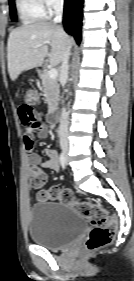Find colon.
<instances>
[{
  "instance_id": "obj_1",
  "label": "colon",
  "mask_w": 134,
  "mask_h": 281,
  "mask_svg": "<svg viewBox=\"0 0 134 281\" xmlns=\"http://www.w3.org/2000/svg\"><path fill=\"white\" fill-rule=\"evenodd\" d=\"M37 102V92L33 89L27 90L25 103L34 106ZM30 182L33 187L41 189L46 182V176L39 168L32 169ZM39 197L41 199L58 200L66 205L73 206L90 221L93 228L85 242L88 250L92 251L112 243L117 230V220L101 205L77 199L70 191L61 190L57 187L50 190L41 189Z\"/></svg>"
}]
</instances>
